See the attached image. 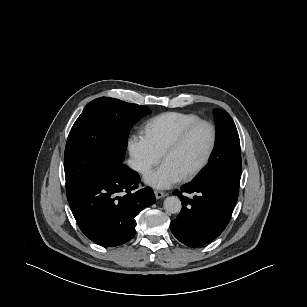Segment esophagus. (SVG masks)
Masks as SVG:
<instances>
[{"label": "esophagus", "mask_w": 307, "mask_h": 307, "mask_svg": "<svg viewBox=\"0 0 307 307\" xmlns=\"http://www.w3.org/2000/svg\"><path fill=\"white\" fill-rule=\"evenodd\" d=\"M154 194H155L156 199H160L166 195L164 192L158 191V190H155Z\"/></svg>", "instance_id": "34e87169"}]
</instances>
